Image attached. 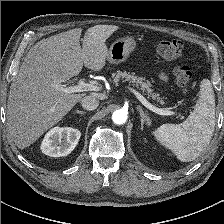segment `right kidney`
<instances>
[{
	"instance_id": "ca27d5eb",
	"label": "right kidney",
	"mask_w": 224,
	"mask_h": 224,
	"mask_svg": "<svg viewBox=\"0 0 224 224\" xmlns=\"http://www.w3.org/2000/svg\"><path fill=\"white\" fill-rule=\"evenodd\" d=\"M81 132L71 127H54L41 143L42 153L50 157H61L71 153L79 142Z\"/></svg>"
}]
</instances>
